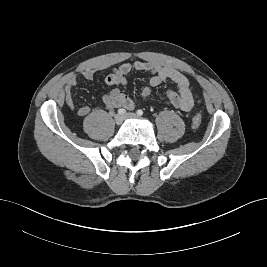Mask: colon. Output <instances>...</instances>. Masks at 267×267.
<instances>
[{"mask_svg": "<svg viewBox=\"0 0 267 267\" xmlns=\"http://www.w3.org/2000/svg\"><path fill=\"white\" fill-rule=\"evenodd\" d=\"M201 116L199 114H195L192 118V125L194 128H198L201 125Z\"/></svg>", "mask_w": 267, "mask_h": 267, "instance_id": "5ec220e1", "label": "colon"}]
</instances>
